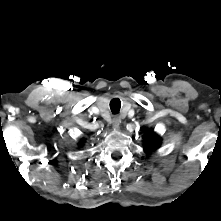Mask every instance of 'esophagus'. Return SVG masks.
<instances>
[{"instance_id": "obj_1", "label": "esophagus", "mask_w": 221, "mask_h": 221, "mask_svg": "<svg viewBox=\"0 0 221 221\" xmlns=\"http://www.w3.org/2000/svg\"><path fill=\"white\" fill-rule=\"evenodd\" d=\"M120 123H121V120H120L119 117H114L113 118L112 126H113L114 129H119Z\"/></svg>"}]
</instances>
